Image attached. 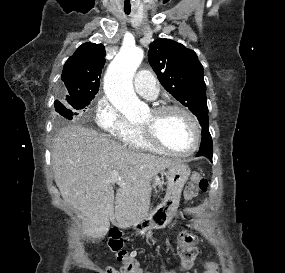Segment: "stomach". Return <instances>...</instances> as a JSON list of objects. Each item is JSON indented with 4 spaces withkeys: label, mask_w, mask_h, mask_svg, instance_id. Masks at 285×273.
<instances>
[{
    "label": "stomach",
    "mask_w": 285,
    "mask_h": 273,
    "mask_svg": "<svg viewBox=\"0 0 285 273\" xmlns=\"http://www.w3.org/2000/svg\"><path fill=\"white\" fill-rule=\"evenodd\" d=\"M190 168L183 163L170 166L165 173L167 178L166 195L157 208H155L145 219L134 224V228L139 233L156 228L155 220L162 222L169 221L172 213L179 205L181 192L184 184L190 176Z\"/></svg>",
    "instance_id": "0dacf381"
}]
</instances>
